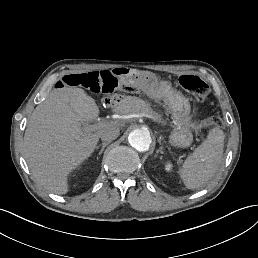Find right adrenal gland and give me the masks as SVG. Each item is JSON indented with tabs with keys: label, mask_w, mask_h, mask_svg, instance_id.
<instances>
[{
	"label": "right adrenal gland",
	"mask_w": 258,
	"mask_h": 258,
	"mask_svg": "<svg viewBox=\"0 0 258 258\" xmlns=\"http://www.w3.org/2000/svg\"><path fill=\"white\" fill-rule=\"evenodd\" d=\"M109 143H110V142H103V143L101 144L102 148H101V150L99 151V155H101V154L103 153L105 147H106L107 145H109ZM95 148L98 149L99 146H96ZM98 159H99V157H97V160H98Z\"/></svg>",
	"instance_id": "2a0ac1e0"
}]
</instances>
